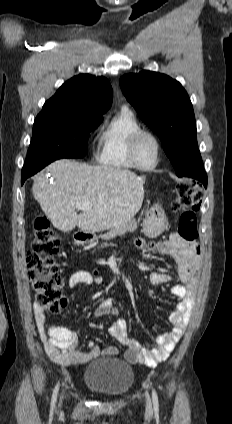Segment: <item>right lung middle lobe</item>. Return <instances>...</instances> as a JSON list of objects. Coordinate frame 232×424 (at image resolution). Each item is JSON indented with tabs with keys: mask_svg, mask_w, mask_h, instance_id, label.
Instances as JSON below:
<instances>
[{
	"mask_svg": "<svg viewBox=\"0 0 232 424\" xmlns=\"http://www.w3.org/2000/svg\"><path fill=\"white\" fill-rule=\"evenodd\" d=\"M102 120L74 110L41 111L34 121L23 170L48 160L84 157L88 134Z\"/></svg>",
	"mask_w": 232,
	"mask_h": 424,
	"instance_id": "right-lung-middle-lobe-1",
	"label": "right lung middle lobe"
}]
</instances>
